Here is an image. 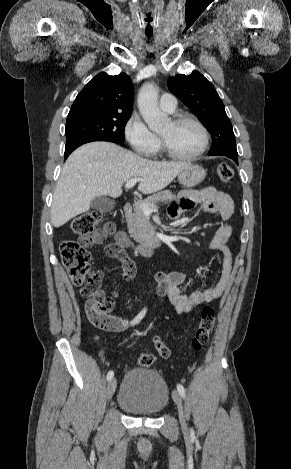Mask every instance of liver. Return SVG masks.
<instances>
[{
	"mask_svg": "<svg viewBox=\"0 0 291 469\" xmlns=\"http://www.w3.org/2000/svg\"><path fill=\"white\" fill-rule=\"evenodd\" d=\"M189 162H157L109 142H91L75 150L65 162L51 207V221L59 228L90 209L94 198H117L122 186L139 178L138 190L150 194L167 187Z\"/></svg>",
	"mask_w": 291,
	"mask_h": 469,
	"instance_id": "6515ba94",
	"label": "liver"
}]
</instances>
